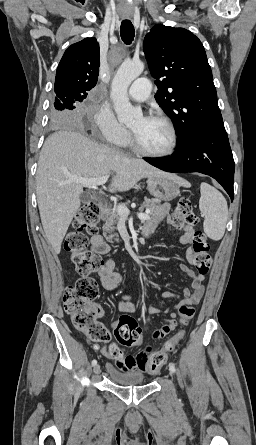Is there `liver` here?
Instances as JSON below:
<instances>
[{
  "instance_id": "6515ba94",
  "label": "liver",
  "mask_w": 256,
  "mask_h": 445,
  "mask_svg": "<svg viewBox=\"0 0 256 445\" xmlns=\"http://www.w3.org/2000/svg\"><path fill=\"white\" fill-rule=\"evenodd\" d=\"M110 175L111 192L128 191L142 178L154 176H170L178 184L185 185L179 177L100 145L80 132L70 129L53 133L40 152L36 193L42 226L56 254L60 253L63 238L80 207L83 185L71 181V178Z\"/></svg>"
}]
</instances>
